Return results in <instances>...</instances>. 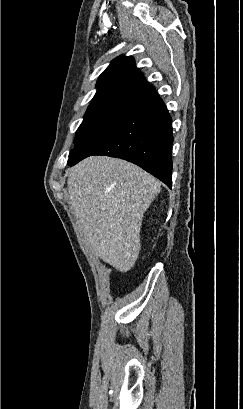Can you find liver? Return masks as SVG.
<instances>
[{
	"label": "liver",
	"instance_id": "obj_1",
	"mask_svg": "<svg viewBox=\"0 0 243 409\" xmlns=\"http://www.w3.org/2000/svg\"><path fill=\"white\" fill-rule=\"evenodd\" d=\"M70 205L90 248L121 272L140 251L144 213L159 194V181L125 160L92 156L67 170Z\"/></svg>",
	"mask_w": 243,
	"mask_h": 409
}]
</instances>
